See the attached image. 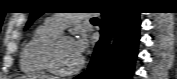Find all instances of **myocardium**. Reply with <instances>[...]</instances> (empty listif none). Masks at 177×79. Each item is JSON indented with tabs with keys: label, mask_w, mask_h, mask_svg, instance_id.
I'll list each match as a JSON object with an SVG mask.
<instances>
[{
	"label": "myocardium",
	"mask_w": 177,
	"mask_h": 79,
	"mask_svg": "<svg viewBox=\"0 0 177 79\" xmlns=\"http://www.w3.org/2000/svg\"><path fill=\"white\" fill-rule=\"evenodd\" d=\"M64 40H73V38L68 35H59L56 38L49 41L43 49L42 59L46 68L51 73L59 76H71L78 73L82 69L84 60L81 58L79 64L73 69L70 70L60 69L56 63L55 52L59 44Z\"/></svg>",
	"instance_id": "1"
}]
</instances>
